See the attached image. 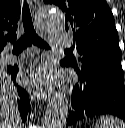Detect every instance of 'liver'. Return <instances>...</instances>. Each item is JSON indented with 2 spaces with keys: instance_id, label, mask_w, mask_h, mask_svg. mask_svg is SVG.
Returning a JSON list of instances; mask_svg holds the SVG:
<instances>
[{
  "instance_id": "1",
  "label": "liver",
  "mask_w": 125,
  "mask_h": 128,
  "mask_svg": "<svg viewBox=\"0 0 125 128\" xmlns=\"http://www.w3.org/2000/svg\"><path fill=\"white\" fill-rule=\"evenodd\" d=\"M17 99L13 82L0 72V128H21Z\"/></svg>"
}]
</instances>
